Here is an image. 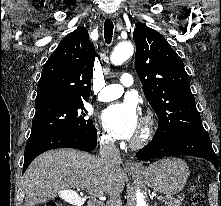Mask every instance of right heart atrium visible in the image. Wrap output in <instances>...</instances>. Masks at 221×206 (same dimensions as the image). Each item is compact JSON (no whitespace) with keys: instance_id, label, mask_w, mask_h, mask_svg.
<instances>
[{"instance_id":"d8ad5b80","label":"right heart atrium","mask_w":221,"mask_h":206,"mask_svg":"<svg viewBox=\"0 0 221 206\" xmlns=\"http://www.w3.org/2000/svg\"><path fill=\"white\" fill-rule=\"evenodd\" d=\"M100 140L103 144H106V145H110L113 143V138L111 137V135L105 132L100 133Z\"/></svg>"}]
</instances>
